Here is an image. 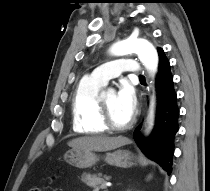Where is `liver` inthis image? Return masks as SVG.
Segmentation results:
<instances>
[{"label":"liver","instance_id":"obj_1","mask_svg":"<svg viewBox=\"0 0 210 191\" xmlns=\"http://www.w3.org/2000/svg\"><path fill=\"white\" fill-rule=\"evenodd\" d=\"M131 141L126 137H108V136H85L73 139L68 145L73 149H82L89 151H109L129 144Z\"/></svg>","mask_w":210,"mask_h":191}]
</instances>
